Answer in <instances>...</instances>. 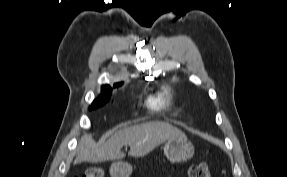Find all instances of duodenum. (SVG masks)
<instances>
[{
	"label": "duodenum",
	"mask_w": 287,
	"mask_h": 177,
	"mask_svg": "<svg viewBox=\"0 0 287 177\" xmlns=\"http://www.w3.org/2000/svg\"><path fill=\"white\" fill-rule=\"evenodd\" d=\"M117 173H118L119 175H123V174H125V173H124V171H123V170H121V169H119V170L117 171Z\"/></svg>",
	"instance_id": "duodenum-1"
}]
</instances>
